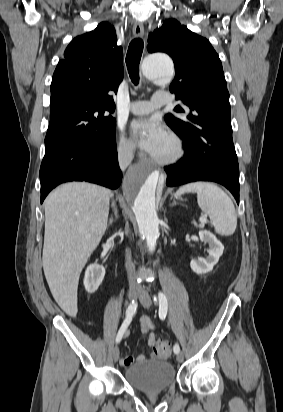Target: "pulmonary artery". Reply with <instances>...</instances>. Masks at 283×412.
I'll list each match as a JSON object with an SVG mask.
<instances>
[{"label": "pulmonary artery", "mask_w": 283, "mask_h": 412, "mask_svg": "<svg viewBox=\"0 0 283 412\" xmlns=\"http://www.w3.org/2000/svg\"><path fill=\"white\" fill-rule=\"evenodd\" d=\"M169 103L168 93H158L153 95L151 101H133L130 104V111L133 114L144 115L152 112L154 109L165 106Z\"/></svg>", "instance_id": "1"}]
</instances>
